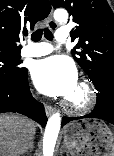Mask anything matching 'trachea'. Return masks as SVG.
Wrapping results in <instances>:
<instances>
[{
	"instance_id": "1",
	"label": "trachea",
	"mask_w": 114,
	"mask_h": 156,
	"mask_svg": "<svg viewBox=\"0 0 114 156\" xmlns=\"http://www.w3.org/2000/svg\"><path fill=\"white\" fill-rule=\"evenodd\" d=\"M43 34H44V37L46 39L53 40V34H52V32L48 28L38 29L35 32H33L31 34V40L34 41V42H38L42 38Z\"/></svg>"
}]
</instances>
